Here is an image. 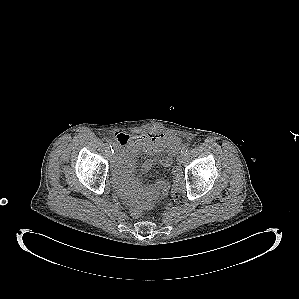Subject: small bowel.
I'll list each match as a JSON object with an SVG mask.
<instances>
[{
  "instance_id": "1",
  "label": "small bowel",
  "mask_w": 299,
  "mask_h": 299,
  "mask_svg": "<svg viewBox=\"0 0 299 299\" xmlns=\"http://www.w3.org/2000/svg\"><path fill=\"white\" fill-rule=\"evenodd\" d=\"M114 136L123 146L119 153L116 169V180L122 191L127 196L140 193L141 196L148 199L166 194L169 184L165 179H160L155 184L143 188L132 178L135 160L140 152L149 156L166 153L164 156L145 160L141 165V171L148 172L156 165L169 167L172 164V156L178 151L180 139L177 136L161 133L130 135L116 132Z\"/></svg>"
}]
</instances>
